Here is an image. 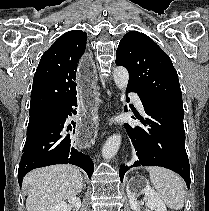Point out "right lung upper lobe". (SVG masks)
Instances as JSON below:
<instances>
[{"instance_id":"obj_1","label":"right lung upper lobe","mask_w":209,"mask_h":211,"mask_svg":"<svg viewBox=\"0 0 209 211\" xmlns=\"http://www.w3.org/2000/svg\"><path fill=\"white\" fill-rule=\"evenodd\" d=\"M86 40L85 32L72 30L43 54L33 79L29 112L54 109L76 97V72Z\"/></svg>"}]
</instances>
